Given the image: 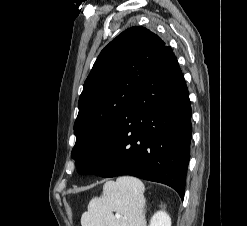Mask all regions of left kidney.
<instances>
[{
	"label": "left kidney",
	"instance_id": "1",
	"mask_svg": "<svg viewBox=\"0 0 247 226\" xmlns=\"http://www.w3.org/2000/svg\"><path fill=\"white\" fill-rule=\"evenodd\" d=\"M149 226H171V218L165 211H158L151 218Z\"/></svg>",
	"mask_w": 247,
	"mask_h": 226
}]
</instances>
